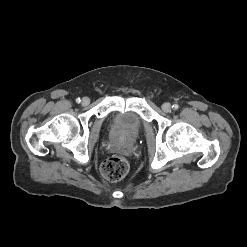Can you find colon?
<instances>
[{"mask_svg":"<svg viewBox=\"0 0 247 247\" xmlns=\"http://www.w3.org/2000/svg\"><path fill=\"white\" fill-rule=\"evenodd\" d=\"M129 170L128 161L121 156H113L106 159L100 166L101 175L109 181L123 179Z\"/></svg>","mask_w":247,"mask_h":247,"instance_id":"5ec220e1","label":"colon"}]
</instances>
